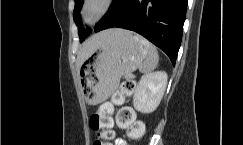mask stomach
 Returning <instances> with one entry per match:
<instances>
[{
  "label": "stomach",
  "mask_w": 243,
  "mask_h": 145,
  "mask_svg": "<svg viewBox=\"0 0 243 145\" xmlns=\"http://www.w3.org/2000/svg\"><path fill=\"white\" fill-rule=\"evenodd\" d=\"M139 35L111 29L101 46L81 68L83 98L96 105L106 101L118 88L122 76L134 71L148 50Z\"/></svg>",
  "instance_id": "stomach-1"
}]
</instances>
